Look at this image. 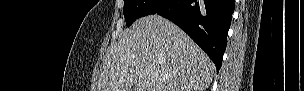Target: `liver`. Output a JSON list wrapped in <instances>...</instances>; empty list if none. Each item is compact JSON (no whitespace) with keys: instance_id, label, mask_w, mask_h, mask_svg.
I'll return each instance as SVG.
<instances>
[{"instance_id":"liver-1","label":"liver","mask_w":304,"mask_h":91,"mask_svg":"<svg viewBox=\"0 0 304 91\" xmlns=\"http://www.w3.org/2000/svg\"><path fill=\"white\" fill-rule=\"evenodd\" d=\"M214 72L183 30L155 14L137 20L107 50L97 91H205Z\"/></svg>"}]
</instances>
